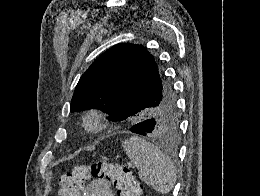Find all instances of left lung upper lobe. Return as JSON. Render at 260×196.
Wrapping results in <instances>:
<instances>
[{
	"instance_id": "5c2ea615",
	"label": "left lung upper lobe",
	"mask_w": 260,
	"mask_h": 196,
	"mask_svg": "<svg viewBox=\"0 0 260 196\" xmlns=\"http://www.w3.org/2000/svg\"><path fill=\"white\" fill-rule=\"evenodd\" d=\"M134 109L126 120L133 126L155 122L152 138L174 146L180 139V117L175 96L159 60L145 47L118 44L100 55L80 78L70 111Z\"/></svg>"
}]
</instances>
